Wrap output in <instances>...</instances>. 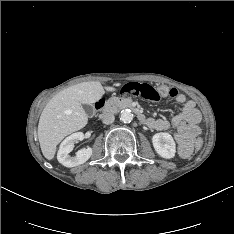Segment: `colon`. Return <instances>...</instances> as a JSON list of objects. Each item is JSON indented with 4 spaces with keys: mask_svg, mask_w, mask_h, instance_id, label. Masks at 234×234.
I'll return each instance as SVG.
<instances>
[{
    "mask_svg": "<svg viewBox=\"0 0 234 234\" xmlns=\"http://www.w3.org/2000/svg\"><path fill=\"white\" fill-rule=\"evenodd\" d=\"M121 94L124 96H139L146 100L155 101L161 96H171V91L165 86L156 89L148 84L132 82L122 87ZM195 146L199 148L201 146V141L197 140Z\"/></svg>",
    "mask_w": 234,
    "mask_h": 234,
    "instance_id": "1",
    "label": "colon"
}]
</instances>
